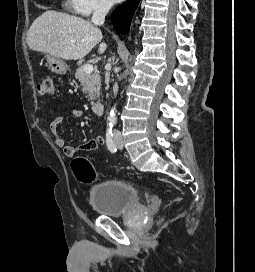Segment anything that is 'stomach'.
<instances>
[{
	"label": "stomach",
	"instance_id": "0dacf381",
	"mask_svg": "<svg viewBox=\"0 0 255 272\" xmlns=\"http://www.w3.org/2000/svg\"><path fill=\"white\" fill-rule=\"evenodd\" d=\"M46 60L47 65L52 72L57 74H65L67 72L68 66L61 58L47 54Z\"/></svg>",
	"mask_w": 255,
	"mask_h": 272
}]
</instances>
